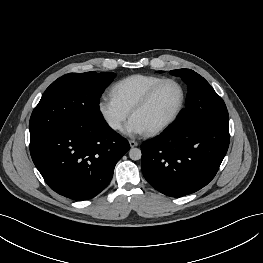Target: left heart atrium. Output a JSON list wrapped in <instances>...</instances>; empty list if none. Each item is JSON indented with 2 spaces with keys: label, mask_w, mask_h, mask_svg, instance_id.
I'll return each instance as SVG.
<instances>
[{
  "label": "left heart atrium",
  "mask_w": 263,
  "mask_h": 263,
  "mask_svg": "<svg viewBox=\"0 0 263 263\" xmlns=\"http://www.w3.org/2000/svg\"><path fill=\"white\" fill-rule=\"evenodd\" d=\"M124 133L134 136L145 132L143 126L133 117L128 121L124 127Z\"/></svg>",
  "instance_id": "39dd6f15"
}]
</instances>
